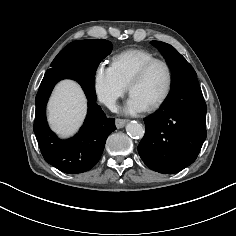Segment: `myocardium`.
Returning a JSON list of instances; mask_svg holds the SVG:
<instances>
[{
	"mask_svg": "<svg viewBox=\"0 0 236 236\" xmlns=\"http://www.w3.org/2000/svg\"><path fill=\"white\" fill-rule=\"evenodd\" d=\"M156 64H162L163 66H165L168 73V82H167V87L165 89V92L161 96V98L157 102H155L154 104H152L151 106L147 108L150 111H154L162 107L171 95L173 84H174V73H173V69L170 63L160 58H155L148 61L138 70V72L135 74V76L133 77V79L131 80L128 86L129 92L131 93L133 88L146 77L150 69Z\"/></svg>",
	"mask_w": 236,
	"mask_h": 236,
	"instance_id": "f54148a6",
	"label": "myocardium"
}]
</instances>
